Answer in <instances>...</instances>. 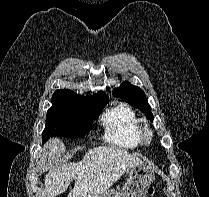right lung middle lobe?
<instances>
[{
    "label": "right lung middle lobe",
    "instance_id": "dd1d6c3e",
    "mask_svg": "<svg viewBox=\"0 0 209 197\" xmlns=\"http://www.w3.org/2000/svg\"><path fill=\"white\" fill-rule=\"evenodd\" d=\"M107 102L108 99L94 100L66 89L56 90L52 96L53 106L47 112L43 142L53 136L77 138L90 132L92 121Z\"/></svg>",
    "mask_w": 209,
    "mask_h": 197
}]
</instances>
